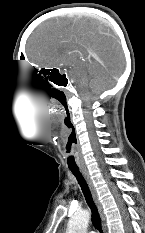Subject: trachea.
Masks as SVG:
<instances>
[{
  "label": "trachea",
  "instance_id": "1",
  "mask_svg": "<svg viewBox=\"0 0 145 233\" xmlns=\"http://www.w3.org/2000/svg\"><path fill=\"white\" fill-rule=\"evenodd\" d=\"M69 169L73 173V175L76 177V179H77V181L82 189V192L84 194L85 200L91 209V217H92V223H93L94 227L102 233L103 231H102V226H101V219H100L97 207L93 201L91 192L89 190V187H88L86 181L84 180L82 174L80 173L79 168L69 167Z\"/></svg>",
  "mask_w": 145,
  "mask_h": 233
}]
</instances>
